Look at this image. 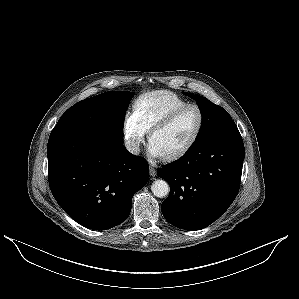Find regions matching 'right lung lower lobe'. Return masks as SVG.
I'll use <instances>...</instances> for the list:
<instances>
[{
  "mask_svg": "<svg viewBox=\"0 0 299 299\" xmlns=\"http://www.w3.org/2000/svg\"><path fill=\"white\" fill-rule=\"evenodd\" d=\"M47 156L54 198L73 220L93 230L127 219L133 195L149 177L143 158L128 152L122 138L101 130L56 125Z\"/></svg>",
  "mask_w": 299,
  "mask_h": 299,
  "instance_id": "1",
  "label": "right lung lower lobe"
}]
</instances>
